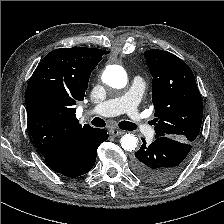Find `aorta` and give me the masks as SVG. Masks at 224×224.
Masks as SVG:
<instances>
[{
	"label": "aorta",
	"instance_id": "1",
	"mask_svg": "<svg viewBox=\"0 0 224 224\" xmlns=\"http://www.w3.org/2000/svg\"><path fill=\"white\" fill-rule=\"evenodd\" d=\"M102 81L113 89H122L127 84V74L122 66L109 65L103 72ZM125 151H133L138 144V138L133 134H125L120 140Z\"/></svg>",
	"mask_w": 224,
	"mask_h": 224
}]
</instances>
